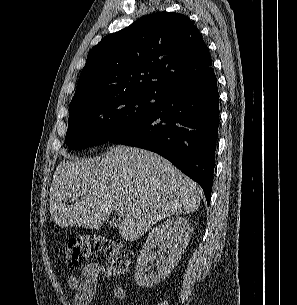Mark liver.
I'll list each match as a JSON object with an SVG mask.
<instances>
[{
    "label": "liver",
    "mask_w": 297,
    "mask_h": 305,
    "mask_svg": "<svg viewBox=\"0 0 297 305\" xmlns=\"http://www.w3.org/2000/svg\"><path fill=\"white\" fill-rule=\"evenodd\" d=\"M49 204L59 227L88 229L99 228L114 206L122 205L125 214L119 232L127 240H136L164 218L196 211L200 189L161 156L116 146L102 158L60 162Z\"/></svg>",
    "instance_id": "liver-1"
}]
</instances>
